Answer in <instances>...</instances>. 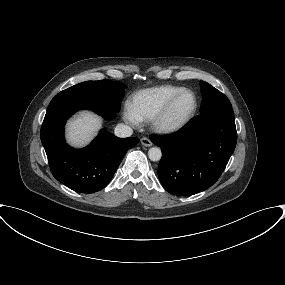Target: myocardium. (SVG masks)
Returning <instances> with one entry per match:
<instances>
[{
	"label": "myocardium",
	"instance_id": "1",
	"mask_svg": "<svg viewBox=\"0 0 285 285\" xmlns=\"http://www.w3.org/2000/svg\"><path fill=\"white\" fill-rule=\"evenodd\" d=\"M190 94L193 97V106L189 112L180 120H170V114L177 103V101L184 95ZM198 108V100L196 94L188 89H184L172 98H170L166 104L160 109V111L152 118L153 129L160 134H174L183 130L193 119Z\"/></svg>",
	"mask_w": 285,
	"mask_h": 285
}]
</instances>
